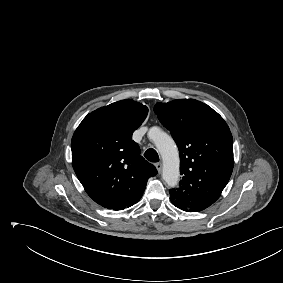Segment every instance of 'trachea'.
<instances>
[{
  "instance_id": "obj_1",
  "label": "trachea",
  "mask_w": 283,
  "mask_h": 283,
  "mask_svg": "<svg viewBox=\"0 0 283 283\" xmlns=\"http://www.w3.org/2000/svg\"><path fill=\"white\" fill-rule=\"evenodd\" d=\"M144 157L150 162H158L159 161L158 153L156 152V150H154L152 148L146 150V152L144 153Z\"/></svg>"
}]
</instances>
